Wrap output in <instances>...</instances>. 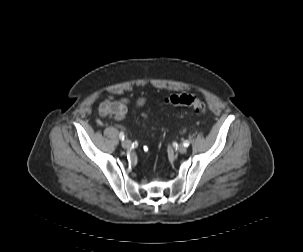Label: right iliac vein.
I'll use <instances>...</instances> for the list:
<instances>
[{"instance_id":"obj_1","label":"right iliac vein","mask_w":303,"mask_h":252,"mask_svg":"<svg viewBox=\"0 0 303 252\" xmlns=\"http://www.w3.org/2000/svg\"><path fill=\"white\" fill-rule=\"evenodd\" d=\"M122 147L125 149H129L131 147V142L127 139L122 141Z\"/></svg>"}]
</instances>
